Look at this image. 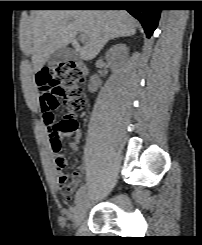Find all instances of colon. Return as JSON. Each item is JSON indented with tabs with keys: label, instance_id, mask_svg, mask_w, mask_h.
Instances as JSON below:
<instances>
[{
	"label": "colon",
	"instance_id": "5ec220e1",
	"mask_svg": "<svg viewBox=\"0 0 202 245\" xmlns=\"http://www.w3.org/2000/svg\"><path fill=\"white\" fill-rule=\"evenodd\" d=\"M39 91L40 111L43 121L48 127V137L53 148L59 150L62 147V139L54 126V105L50 98L56 94L65 104L68 115L61 125L63 131H71L75 128V115L85 107L81 82L82 74L74 61H62L50 68H44L36 74Z\"/></svg>",
	"mask_w": 202,
	"mask_h": 245
}]
</instances>
